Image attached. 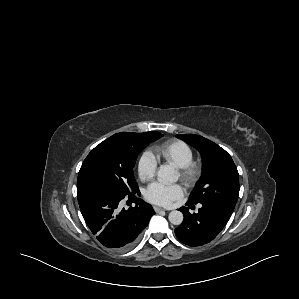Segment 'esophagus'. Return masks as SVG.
I'll use <instances>...</instances> for the list:
<instances>
[{
	"instance_id": "1",
	"label": "esophagus",
	"mask_w": 299,
	"mask_h": 299,
	"mask_svg": "<svg viewBox=\"0 0 299 299\" xmlns=\"http://www.w3.org/2000/svg\"><path fill=\"white\" fill-rule=\"evenodd\" d=\"M153 209H154L155 212L166 211V209L158 207V206H154Z\"/></svg>"
}]
</instances>
